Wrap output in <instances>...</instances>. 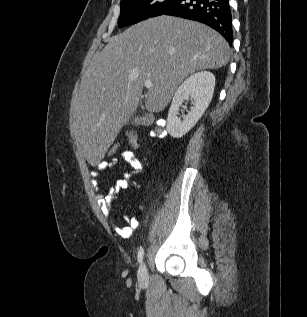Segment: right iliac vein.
Here are the masks:
<instances>
[{
    "mask_svg": "<svg viewBox=\"0 0 307 317\" xmlns=\"http://www.w3.org/2000/svg\"><path fill=\"white\" fill-rule=\"evenodd\" d=\"M138 282L140 285L144 286L147 285L149 282V276L147 272V268L145 264H142L138 270Z\"/></svg>",
    "mask_w": 307,
    "mask_h": 317,
    "instance_id": "right-iliac-vein-1",
    "label": "right iliac vein"
}]
</instances>
